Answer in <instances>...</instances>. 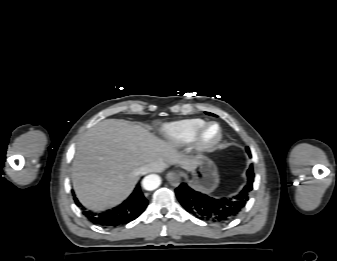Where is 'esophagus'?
<instances>
[{
    "label": "esophagus",
    "instance_id": "obj_1",
    "mask_svg": "<svg viewBox=\"0 0 337 261\" xmlns=\"http://www.w3.org/2000/svg\"><path fill=\"white\" fill-rule=\"evenodd\" d=\"M166 178L168 182L173 186L177 187L180 184L181 177L177 172L170 171L167 173Z\"/></svg>",
    "mask_w": 337,
    "mask_h": 261
}]
</instances>
